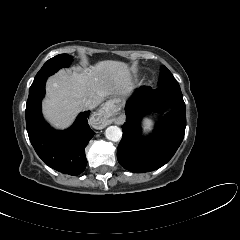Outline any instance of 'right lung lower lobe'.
Here are the masks:
<instances>
[{
    "label": "right lung lower lobe",
    "instance_id": "98d812e1",
    "mask_svg": "<svg viewBox=\"0 0 240 240\" xmlns=\"http://www.w3.org/2000/svg\"><path fill=\"white\" fill-rule=\"evenodd\" d=\"M45 82L46 79L29 90L25 114L30 142L49 167L69 175H79L87 165L85 147L95 134L87 121L90 111L82 112L68 130H53L41 113Z\"/></svg>",
    "mask_w": 240,
    "mask_h": 240
}]
</instances>
